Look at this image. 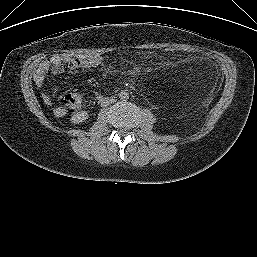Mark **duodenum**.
<instances>
[{
  "label": "duodenum",
  "instance_id": "duodenum-1",
  "mask_svg": "<svg viewBox=\"0 0 257 257\" xmlns=\"http://www.w3.org/2000/svg\"><path fill=\"white\" fill-rule=\"evenodd\" d=\"M103 101H105V98L100 97V98H98V99L96 100V104H100V103H102Z\"/></svg>",
  "mask_w": 257,
  "mask_h": 257
}]
</instances>
